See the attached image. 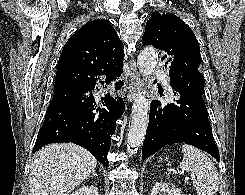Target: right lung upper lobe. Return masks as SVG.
I'll list each match as a JSON object with an SVG mask.
<instances>
[{
    "instance_id": "right-lung-upper-lobe-1",
    "label": "right lung upper lobe",
    "mask_w": 245,
    "mask_h": 195,
    "mask_svg": "<svg viewBox=\"0 0 245 195\" xmlns=\"http://www.w3.org/2000/svg\"><path fill=\"white\" fill-rule=\"evenodd\" d=\"M123 48L108 21L87 22L70 37L62 50L54 92L88 84L102 74L115 78L122 72Z\"/></svg>"
}]
</instances>
